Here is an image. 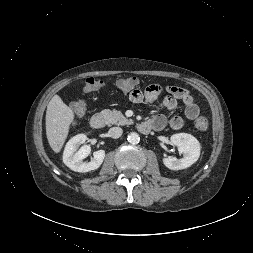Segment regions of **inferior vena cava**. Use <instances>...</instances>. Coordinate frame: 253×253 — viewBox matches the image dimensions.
Returning <instances> with one entry per match:
<instances>
[{
  "instance_id": "inferior-vena-cava-1",
  "label": "inferior vena cava",
  "mask_w": 253,
  "mask_h": 253,
  "mask_svg": "<svg viewBox=\"0 0 253 253\" xmlns=\"http://www.w3.org/2000/svg\"><path fill=\"white\" fill-rule=\"evenodd\" d=\"M108 133L112 138H119L122 135L123 130L120 127H112L109 129Z\"/></svg>"
}]
</instances>
